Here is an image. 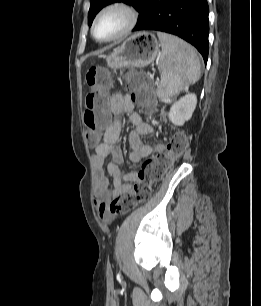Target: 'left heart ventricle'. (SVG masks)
Wrapping results in <instances>:
<instances>
[{
  "label": "left heart ventricle",
  "instance_id": "left-heart-ventricle-1",
  "mask_svg": "<svg viewBox=\"0 0 261 306\" xmlns=\"http://www.w3.org/2000/svg\"><path fill=\"white\" fill-rule=\"evenodd\" d=\"M127 17L121 11H110L99 21L96 27V36L99 39H106L119 33L126 25Z\"/></svg>",
  "mask_w": 261,
  "mask_h": 306
}]
</instances>
